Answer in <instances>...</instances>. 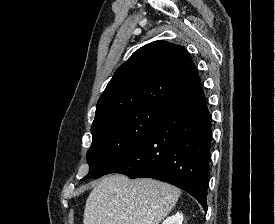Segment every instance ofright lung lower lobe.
Masks as SVG:
<instances>
[{
  "label": "right lung lower lobe",
  "mask_w": 275,
  "mask_h": 224,
  "mask_svg": "<svg viewBox=\"0 0 275 224\" xmlns=\"http://www.w3.org/2000/svg\"><path fill=\"white\" fill-rule=\"evenodd\" d=\"M211 140V115L199 83L170 106L149 135L109 173L170 183L207 211Z\"/></svg>",
  "instance_id": "98d812e1"
}]
</instances>
